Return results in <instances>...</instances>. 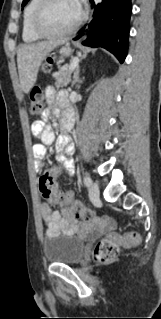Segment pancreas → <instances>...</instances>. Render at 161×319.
Listing matches in <instances>:
<instances>
[{"mask_svg": "<svg viewBox=\"0 0 161 319\" xmlns=\"http://www.w3.org/2000/svg\"><path fill=\"white\" fill-rule=\"evenodd\" d=\"M71 63L63 66L59 72L53 74V78L55 79V86L57 89L67 86L71 81V74L73 72L70 69Z\"/></svg>", "mask_w": 161, "mask_h": 319, "instance_id": "cf45deb5", "label": "pancreas"}]
</instances>
